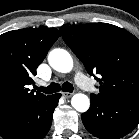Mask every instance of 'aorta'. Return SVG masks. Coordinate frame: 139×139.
Returning <instances> with one entry per match:
<instances>
[{
  "mask_svg": "<svg viewBox=\"0 0 139 139\" xmlns=\"http://www.w3.org/2000/svg\"><path fill=\"white\" fill-rule=\"evenodd\" d=\"M49 65L56 71L68 73L73 68V59L69 52L64 49H54L48 55ZM72 107L78 112H86L90 107L89 98L82 93L73 95L71 99Z\"/></svg>",
  "mask_w": 139,
  "mask_h": 139,
  "instance_id": "aorta-1",
  "label": "aorta"
}]
</instances>
